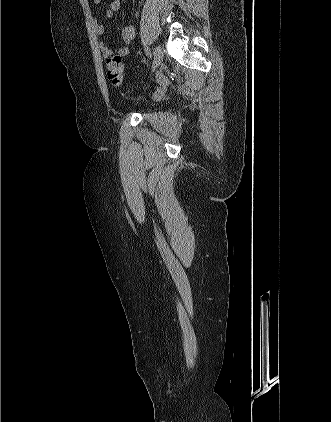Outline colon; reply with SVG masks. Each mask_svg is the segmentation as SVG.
Wrapping results in <instances>:
<instances>
[{
  "instance_id": "5ec220e1",
  "label": "colon",
  "mask_w": 331,
  "mask_h": 422,
  "mask_svg": "<svg viewBox=\"0 0 331 422\" xmlns=\"http://www.w3.org/2000/svg\"><path fill=\"white\" fill-rule=\"evenodd\" d=\"M106 74L114 86H119L124 78V64L120 57H113L106 63Z\"/></svg>"
}]
</instances>
